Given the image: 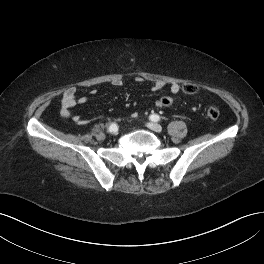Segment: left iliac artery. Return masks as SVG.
Segmentation results:
<instances>
[{
	"instance_id": "obj_1",
	"label": "left iliac artery",
	"mask_w": 264,
	"mask_h": 264,
	"mask_svg": "<svg viewBox=\"0 0 264 264\" xmlns=\"http://www.w3.org/2000/svg\"><path fill=\"white\" fill-rule=\"evenodd\" d=\"M150 120L154 121V122H158L160 120V116L157 114H152L150 115Z\"/></svg>"
}]
</instances>
